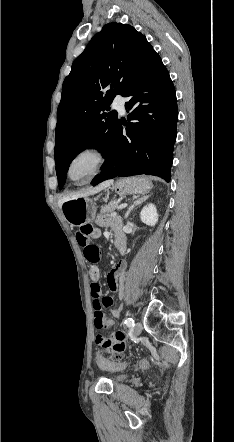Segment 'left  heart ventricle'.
<instances>
[{
	"label": "left heart ventricle",
	"instance_id": "obj_1",
	"mask_svg": "<svg viewBox=\"0 0 234 442\" xmlns=\"http://www.w3.org/2000/svg\"><path fill=\"white\" fill-rule=\"evenodd\" d=\"M96 158L91 153H83L79 155L71 165L70 174L76 181L87 178L94 169Z\"/></svg>",
	"mask_w": 234,
	"mask_h": 442
}]
</instances>
